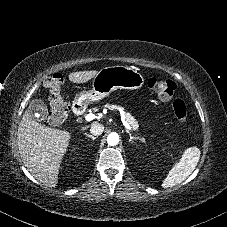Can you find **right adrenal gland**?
<instances>
[{"instance_id":"1","label":"right adrenal gland","mask_w":227,"mask_h":227,"mask_svg":"<svg viewBox=\"0 0 227 227\" xmlns=\"http://www.w3.org/2000/svg\"><path fill=\"white\" fill-rule=\"evenodd\" d=\"M85 135H86L87 137L91 138L93 141H94L95 139H97V137L92 136V135H90V134L85 133Z\"/></svg>"}]
</instances>
